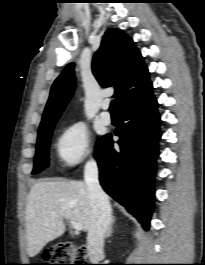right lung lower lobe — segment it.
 Returning a JSON list of instances; mask_svg holds the SVG:
<instances>
[{"label":"right lung lower lobe","mask_w":205,"mask_h":265,"mask_svg":"<svg viewBox=\"0 0 205 265\" xmlns=\"http://www.w3.org/2000/svg\"><path fill=\"white\" fill-rule=\"evenodd\" d=\"M115 135L120 137L119 151L113 148L111 134L102 137L96 146L100 183L148 230L154 206L157 145L161 137L160 115L153 93L120 112Z\"/></svg>","instance_id":"obj_1"}]
</instances>
